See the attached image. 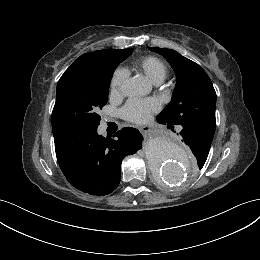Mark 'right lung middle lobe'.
<instances>
[{
	"mask_svg": "<svg viewBox=\"0 0 260 260\" xmlns=\"http://www.w3.org/2000/svg\"><path fill=\"white\" fill-rule=\"evenodd\" d=\"M132 49L113 51L69 67L57 84L52 112L54 137L100 124L99 110L108 101L110 81L116 67Z\"/></svg>",
	"mask_w": 260,
	"mask_h": 260,
	"instance_id": "obj_1",
	"label": "right lung middle lobe"
}]
</instances>
